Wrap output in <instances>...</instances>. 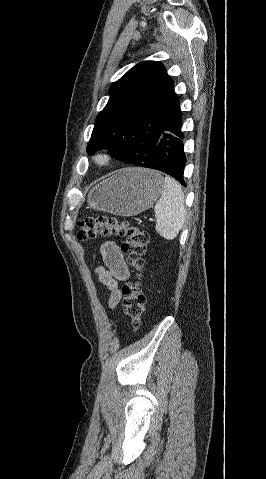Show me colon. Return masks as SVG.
Masks as SVG:
<instances>
[{
	"label": "colon",
	"mask_w": 266,
	"mask_h": 479,
	"mask_svg": "<svg viewBox=\"0 0 266 479\" xmlns=\"http://www.w3.org/2000/svg\"><path fill=\"white\" fill-rule=\"evenodd\" d=\"M77 239H91L121 236L124 237L121 249L128 256L135 277L122 286L123 312L133 327H138L145 312L146 296L141 285V272L144 265L143 255L148 243V233L138 225L120 222L113 217H89L78 223Z\"/></svg>",
	"instance_id": "colon-1"
}]
</instances>
